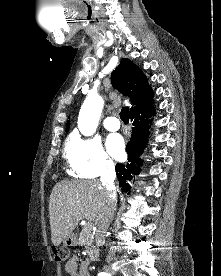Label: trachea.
Listing matches in <instances>:
<instances>
[{"mask_svg":"<svg viewBox=\"0 0 221 276\" xmlns=\"http://www.w3.org/2000/svg\"><path fill=\"white\" fill-rule=\"evenodd\" d=\"M120 118L125 124H127L129 122V108L128 107L125 106L121 109Z\"/></svg>","mask_w":221,"mask_h":276,"instance_id":"obj_1","label":"trachea"}]
</instances>
